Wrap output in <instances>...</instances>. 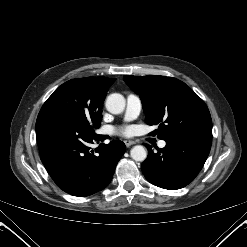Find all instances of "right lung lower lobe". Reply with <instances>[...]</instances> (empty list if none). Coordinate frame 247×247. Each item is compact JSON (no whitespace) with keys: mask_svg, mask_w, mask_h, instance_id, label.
<instances>
[{"mask_svg":"<svg viewBox=\"0 0 247 247\" xmlns=\"http://www.w3.org/2000/svg\"><path fill=\"white\" fill-rule=\"evenodd\" d=\"M36 138L47 172L56 185L73 196H88L109 185L126 147L120 140L101 143L95 154L89 145L105 135L68 113L41 109L36 121Z\"/></svg>","mask_w":247,"mask_h":247,"instance_id":"98d812e1","label":"right lung lower lobe"}]
</instances>
